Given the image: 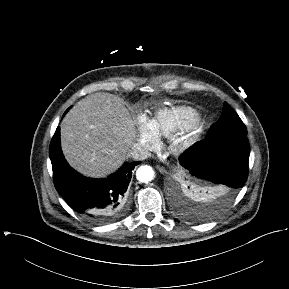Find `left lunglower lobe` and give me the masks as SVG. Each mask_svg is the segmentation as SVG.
<instances>
[{
    "label": "left lung lower lobe",
    "instance_id": "obj_1",
    "mask_svg": "<svg viewBox=\"0 0 289 289\" xmlns=\"http://www.w3.org/2000/svg\"><path fill=\"white\" fill-rule=\"evenodd\" d=\"M249 154L245 134H228L206 137L195 143L180 156L179 162L191 176L200 180L201 188L216 187L222 202L245 184Z\"/></svg>",
    "mask_w": 289,
    "mask_h": 289
}]
</instances>
